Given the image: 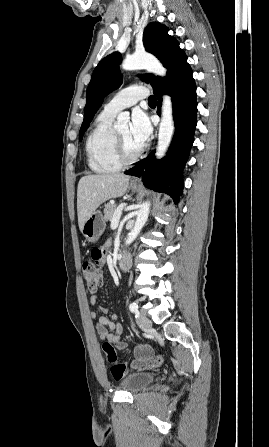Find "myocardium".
<instances>
[{
  "label": "myocardium",
  "mask_w": 269,
  "mask_h": 447,
  "mask_svg": "<svg viewBox=\"0 0 269 447\" xmlns=\"http://www.w3.org/2000/svg\"><path fill=\"white\" fill-rule=\"evenodd\" d=\"M113 146H114L115 158L121 166H127L135 163L142 156L145 150L143 146L139 152H137L134 155H130L124 143L119 138L117 132L113 133Z\"/></svg>",
  "instance_id": "myocardium-1"
}]
</instances>
